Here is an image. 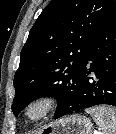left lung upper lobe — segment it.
<instances>
[{"mask_svg":"<svg viewBox=\"0 0 116 134\" xmlns=\"http://www.w3.org/2000/svg\"><path fill=\"white\" fill-rule=\"evenodd\" d=\"M114 4V0H52L47 5L21 51L14 77L16 117L37 98H57V110L73 98L89 44Z\"/></svg>","mask_w":116,"mask_h":134,"instance_id":"left-lung-upper-lobe-1","label":"left lung upper lobe"}]
</instances>
